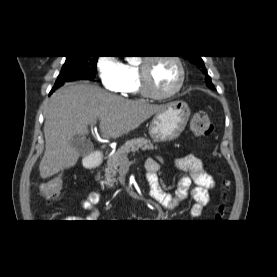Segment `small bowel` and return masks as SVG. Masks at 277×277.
I'll list each match as a JSON object with an SVG mask.
<instances>
[{
  "label": "small bowel",
  "mask_w": 277,
  "mask_h": 277,
  "mask_svg": "<svg viewBox=\"0 0 277 277\" xmlns=\"http://www.w3.org/2000/svg\"><path fill=\"white\" fill-rule=\"evenodd\" d=\"M177 169L185 172L187 175L181 177L176 185L174 194L164 192L157 178L159 163L154 158L146 161V182L149 188L151 198L168 210H174L181 202L191 196L195 204L190 209L192 218H199L203 209L210 202V190L215 186V180L206 172L202 161L194 155H185L174 161ZM102 196L99 192L93 191L80 199V206L89 211L88 220H97L99 210L97 205L101 202ZM69 219V217L65 218Z\"/></svg>",
  "instance_id": "obj_1"
}]
</instances>
